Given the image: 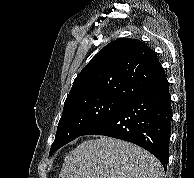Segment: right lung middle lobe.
<instances>
[{"label": "right lung middle lobe", "mask_w": 194, "mask_h": 178, "mask_svg": "<svg viewBox=\"0 0 194 178\" xmlns=\"http://www.w3.org/2000/svg\"><path fill=\"white\" fill-rule=\"evenodd\" d=\"M124 102L125 100L117 98L92 97L65 104L49 155L81 136Z\"/></svg>", "instance_id": "obj_1"}]
</instances>
